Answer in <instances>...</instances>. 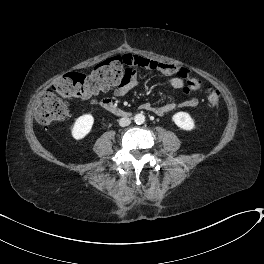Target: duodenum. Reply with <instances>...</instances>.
<instances>
[{"label":"duodenum","mask_w":264,"mask_h":264,"mask_svg":"<svg viewBox=\"0 0 264 264\" xmlns=\"http://www.w3.org/2000/svg\"><path fill=\"white\" fill-rule=\"evenodd\" d=\"M100 106L113 113V114H116V115H119V116H127L128 115V111L115 105L112 101L108 100V99H103L100 101Z\"/></svg>","instance_id":"1"}]
</instances>
